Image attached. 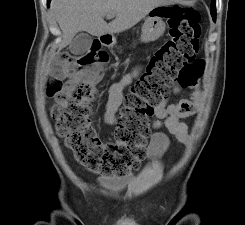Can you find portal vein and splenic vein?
I'll list each match as a JSON object with an SVG mask.
<instances>
[{"label": "portal vein and splenic vein", "mask_w": 245, "mask_h": 225, "mask_svg": "<svg viewBox=\"0 0 245 225\" xmlns=\"http://www.w3.org/2000/svg\"><path fill=\"white\" fill-rule=\"evenodd\" d=\"M113 17H115L114 14H107V18H108V19H111V18H113Z\"/></svg>", "instance_id": "1"}]
</instances>
